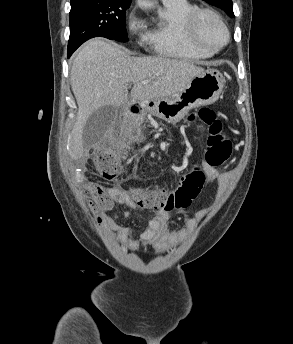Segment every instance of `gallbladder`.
Returning a JSON list of instances; mask_svg holds the SVG:
<instances>
[{
  "instance_id": "bac80fb5",
  "label": "gallbladder",
  "mask_w": 293,
  "mask_h": 344,
  "mask_svg": "<svg viewBox=\"0 0 293 344\" xmlns=\"http://www.w3.org/2000/svg\"><path fill=\"white\" fill-rule=\"evenodd\" d=\"M116 117L117 108L114 106H103L94 111L83 127V146L89 148L98 145L108 128L114 123Z\"/></svg>"
}]
</instances>
